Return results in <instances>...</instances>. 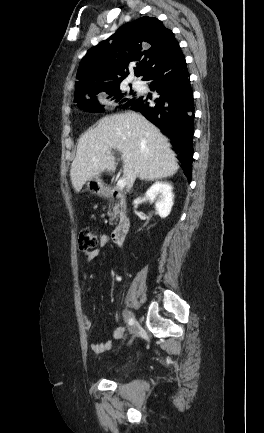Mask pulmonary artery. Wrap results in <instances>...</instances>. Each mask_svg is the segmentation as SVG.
I'll return each mask as SVG.
<instances>
[{"label": "pulmonary artery", "mask_w": 264, "mask_h": 433, "mask_svg": "<svg viewBox=\"0 0 264 433\" xmlns=\"http://www.w3.org/2000/svg\"><path fill=\"white\" fill-rule=\"evenodd\" d=\"M133 85H134V87H136V88H140V87H141V84L138 83V82H134Z\"/></svg>", "instance_id": "1"}]
</instances>
